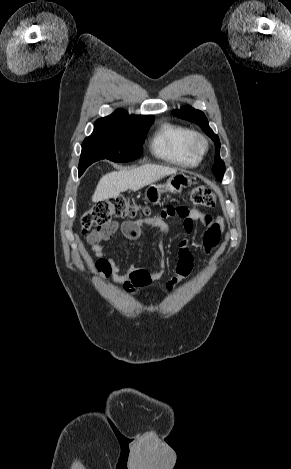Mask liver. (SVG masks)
<instances>
[{"label":"liver","mask_w":291,"mask_h":469,"mask_svg":"<svg viewBox=\"0 0 291 469\" xmlns=\"http://www.w3.org/2000/svg\"><path fill=\"white\" fill-rule=\"evenodd\" d=\"M177 169L166 166L146 164L131 170L108 173L100 179L92 196L93 202L116 198L121 192L131 189L137 191L164 176L176 174Z\"/></svg>","instance_id":"liver-1"}]
</instances>
